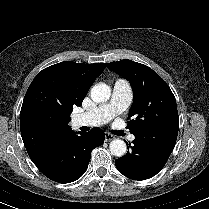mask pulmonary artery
I'll list each match as a JSON object with an SVG mask.
<instances>
[{"instance_id": "obj_1", "label": "pulmonary artery", "mask_w": 209, "mask_h": 209, "mask_svg": "<svg viewBox=\"0 0 209 209\" xmlns=\"http://www.w3.org/2000/svg\"><path fill=\"white\" fill-rule=\"evenodd\" d=\"M131 88L127 81L119 79L113 85L112 96L108 103L99 106L91 112L79 114L75 117L77 126H100L107 123L114 116L125 110L130 102ZM135 136L130 135L129 140Z\"/></svg>"}]
</instances>
